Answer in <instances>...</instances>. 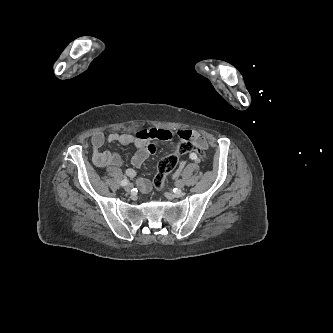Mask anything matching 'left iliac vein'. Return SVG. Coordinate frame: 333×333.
<instances>
[{
    "label": "left iliac vein",
    "mask_w": 333,
    "mask_h": 333,
    "mask_svg": "<svg viewBox=\"0 0 333 333\" xmlns=\"http://www.w3.org/2000/svg\"><path fill=\"white\" fill-rule=\"evenodd\" d=\"M184 185H185V183H184V181L183 180H181V179H179V180H177L176 182H175V186L177 187V188H183L184 187Z\"/></svg>",
    "instance_id": "obj_1"
}]
</instances>
